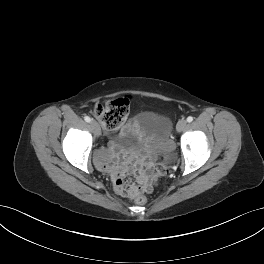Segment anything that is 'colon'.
I'll return each instance as SVG.
<instances>
[{
  "label": "colon",
  "mask_w": 264,
  "mask_h": 264,
  "mask_svg": "<svg viewBox=\"0 0 264 264\" xmlns=\"http://www.w3.org/2000/svg\"><path fill=\"white\" fill-rule=\"evenodd\" d=\"M130 111V98L121 97L105 105H99L94 110V115L100 120L107 130H117L123 126ZM158 176H166L168 168L164 163L156 166ZM119 193L124 197L134 199L138 205H145L147 197L145 192L150 188L147 186L145 176L124 175L118 180Z\"/></svg>",
  "instance_id": "colon-1"
}]
</instances>
